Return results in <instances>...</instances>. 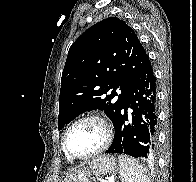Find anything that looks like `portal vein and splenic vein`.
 Segmentation results:
<instances>
[{"instance_id": "obj_1", "label": "portal vein and splenic vein", "mask_w": 196, "mask_h": 182, "mask_svg": "<svg viewBox=\"0 0 196 182\" xmlns=\"http://www.w3.org/2000/svg\"><path fill=\"white\" fill-rule=\"evenodd\" d=\"M101 182H108V181H106V180H101Z\"/></svg>"}]
</instances>
